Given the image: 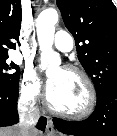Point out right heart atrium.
<instances>
[{
  "label": "right heart atrium",
  "mask_w": 117,
  "mask_h": 136,
  "mask_svg": "<svg viewBox=\"0 0 117 136\" xmlns=\"http://www.w3.org/2000/svg\"><path fill=\"white\" fill-rule=\"evenodd\" d=\"M42 93V82L30 69L24 71L20 83V97L27 104H35Z\"/></svg>",
  "instance_id": "right-heart-atrium-1"
}]
</instances>
